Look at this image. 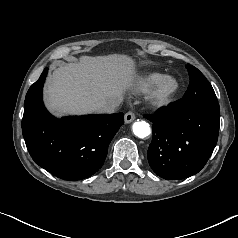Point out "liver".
<instances>
[{
    "label": "liver",
    "mask_w": 238,
    "mask_h": 238,
    "mask_svg": "<svg viewBox=\"0 0 238 238\" xmlns=\"http://www.w3.org/2000/svg\"><path fill=\"white\" fill-rule=\"evenodd\" d=\"M134 76V60L126 55L82 56L54 70L46 84L45 102L57 115L97 112L99 104L122 101Z\"/></svg>",
    "instance_id": "1"
}]
</instances>
